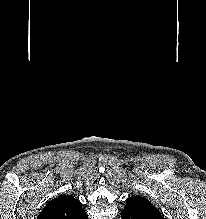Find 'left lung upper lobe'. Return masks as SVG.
<instances>
[{"instance_id":"5c2ea615","label":"left lung upper lobe","mask_w":206,"mask_h":219,"mask_svg":"<svg viewBox=\"0 0 206 219\" xmlns=\"http://www.w3.org/2000/svg\"><path fill=\"white\" fill-rule=\"evenodd\" d=\"M131 197H137V198L143 199L144 201H146V203H147L150 207H152V208L154 209V211H155L157 214H160V213H159V210H158L155 206H153L152 203H151L148 199H146V198H144V197H139V196H131ZM160 215H161V214H160Z\"/></svg>"}]
</instances>
